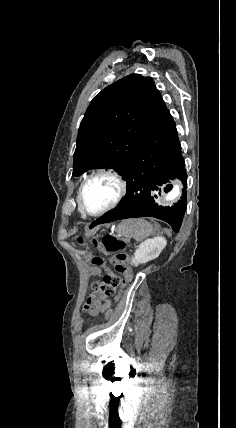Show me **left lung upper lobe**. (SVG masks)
<instances>
[{
  "instance_id": "left-lung-upper-lobe-1",
  "label": "left lung upper lobe",
  "mask_w": 236,
  "mask_h": 428,
  "mask_svg": "<svg viewBox=\"0 0 236 428\" xmlns=\"http://www.w3.org/2000/svg\"><path fill=\"white\" fill-rule=\"evenodd\" d=\"M166 110L151 77L131 74L104 88L81 121L73 175L93 168L123 175L146 132Z\"/></svg>"
}]
</instances>
